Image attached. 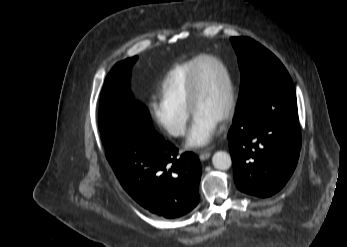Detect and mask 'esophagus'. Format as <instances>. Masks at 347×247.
I'll return each mask as SVG.
<instances>
[{
    "label": "esophagus",
    "mask_w": 347,
    "mask_h": 247,
    "mask_svg": "<svg viewBox=\"0 0 347 247\" xmlns=\"http://www.w3.org/2000/svg\"><path fill=\"white\" fill-rule=\"evenodd\" d=\"M199 153V158L202 161L208 159L211 155V152L208 149L201 150Z\"/></svg>",
    "instance_id": "esophagus-1"
}]
</instances>
